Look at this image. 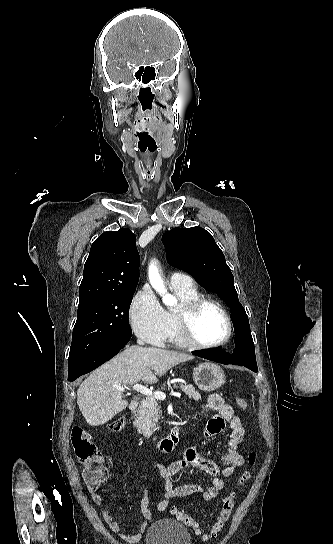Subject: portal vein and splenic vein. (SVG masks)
<instances>
[{
	"mask_svg": "<svg viewBox=\"0 0 333 544\" xmlns=\"http://www.w3.org/2000/svg\"><path fill=\"white\" fill-rule=\"evenodd\" d=\"M115 388L119 391L125 390L123 386H115ZM133 390H136L146 396H154L156 399H159V400H164L166 398V394H164L163 392H160V391L152 392L146 386H143L141 384H135L133 386ZM170 395L174 397H179V398L181 397V393H178V392H171Z\"/></svg>",
	"mask_w": 333,
	"mask_h": 544,
	"instance_id": "1",
	"label": "portal vein and splenic vein"
}]
</instances>
